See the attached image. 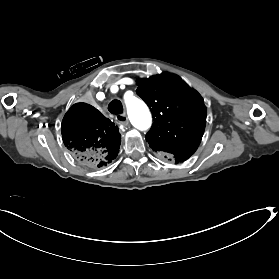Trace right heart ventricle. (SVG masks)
Here are the masks:
<instances>
[{
	"label": "right heart ventricle",
	"instance_id": "obj_1",
	"mask_svg": "<svg viewBox=\"0 0 279 279\" xmlns=\"http://www.w3.org/2000/svg\"><path fill=\"white\" fill-rule=\"evenodd\" d=\"M95 50H100V49H95ZM105 59H106V56L103 53L96 52L92 56L88 57L86 59V61L89 63H97V62L103 61ZM136 98H137L136 92L130 90V91H126L122 95V97L119 99V102L125 109H128L134 103Z\"/></svg>",
	"mask_w": 279,
	"mask_h": 279
}]
</instances>
